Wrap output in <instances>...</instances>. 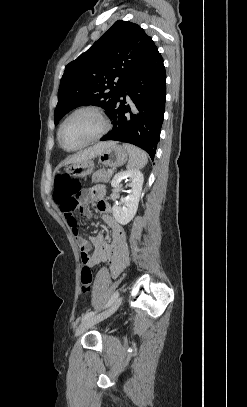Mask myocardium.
<instances>
[{
    "mask_svg": "<svg viewBox=\"0 0 247 407\" xmlns=\"http://www.w3.org/2000/svg\"><path fill=\"white\" fill-rule=\"evenodd\" d=\"M82 112H87V113H91V114L95 115L99 119V121L101 122L102 128H101L100 132L97 135H95L93 138L89 139L84 144H82V145H80V146H78L76 148H72V149L65 148L61 143V131H62V128H63L64 124L71 117H73L74 115H76L78 113H82ZM110 128H111L110 121L108 120V118L106 117V115L104 114V112L101 109H99L97 107H93V106H82V107L74 109L72 112H70L62 120V122L59 125L58 131H57V140H58L59 146L63 150H65L67 152H74V151L81 150V149H83V148H85V147L99 141L101 138H103L109 132Z\"/></svg>",
    "mask_w": 247,
    "mask_h": 407,
    "instance_id": "myocardium-1",
    "label": "myocardium"
}]
</instances>
